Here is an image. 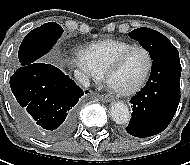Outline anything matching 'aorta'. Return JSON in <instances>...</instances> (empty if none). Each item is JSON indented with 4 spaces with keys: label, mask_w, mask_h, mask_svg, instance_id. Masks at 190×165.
Instances as JSON below:
<instances>
[{
    "label": "aorta",
    "mask_w": 190,
    "mask_h": 165,
    "mask_svg": "<svg viewBox=\"0 0 190 165\" xmlns=\"http://www.w3.org/2000/svg\"><path fill=\"white\" fill-rule=\"evenodd\" d=\"M111 117L117 124H126L130 120V112L123 102H115L111 106Z\"/></svg>",
    "instance_id": "obj_1"
}]
</instances>
